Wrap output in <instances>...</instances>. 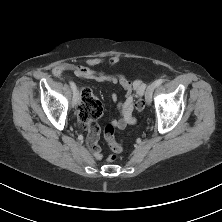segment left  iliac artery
I'll use <instances>...</instances> for the list:
<instances>
[{
    "label": "left iliac artery",
    "instance_id": "44dca946",
    "mask_svg": "<svg viewBox=\"0 0 222 222\" xmlns=\"http://www.w3.org/2000/svg\"><path fill=\"white\" fill-rule=\"evenodd\" d=\"M163 83V79H158L154 82L155 88L160 86Z\"/></svg>",
    "mask_w": 222,
    "mask_h": 222
}]
</instances>
